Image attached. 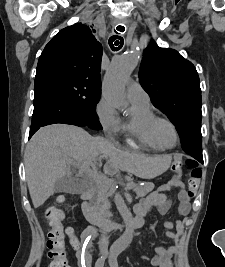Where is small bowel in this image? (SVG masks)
I'll return each mask as SVG.
<instances>
[{"mask_svg": "<svg viewBox=\"0 0 225 267\" xmlns=\"http://www.w3.org/2000/svg\"><path fill=\"white\" fill-rule=\"evenodd\" d=\"M177 190L178 191V210L179 215H186L190 210V198L188 192L184 186V183L179 177H173L170 181L164 184L161 189L150 193L146 198H144L140 204L135 207L136 217L144 218L145 214L151 210L156 209L160 213L165 214L171 207L172 201L165 194L166 191ZM165 234L168 238L173 241L178 240V231L181 230L182 223L180 220L176 221V232L173 231L175 225L173 222L165 219ZM92 229L88 228L83 232L82 239L84 244L78 247H74L76 251V257L79 262L86 265L90 262V253L87 251V241L91 236ZM156 254L151 259V264L154 267H172V256L176 252L175 246L163 247L157 246L155 248Z\"/></svg>", "mask_w": 225, "mask_h": 267, "instance_id": "obj_1", "label": "small bowel"}]
</instances>
